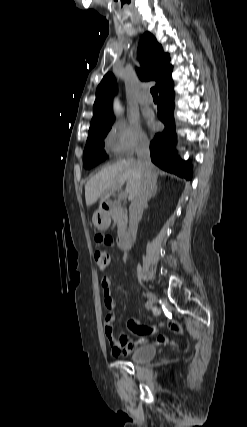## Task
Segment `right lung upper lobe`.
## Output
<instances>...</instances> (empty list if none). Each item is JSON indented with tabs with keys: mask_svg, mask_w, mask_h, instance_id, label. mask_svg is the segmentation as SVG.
<instances>
[{
	"mask_svg": "<svg viewBox=\"0 0 247 427\" xmlns=\"http://www.w3.org/2000/svg\"><path fill=\"white\" fill-rule=\"evenodd\" d=\"M139 59L142 69L138 70L141 80H155L160 90L171 78L172 65L168 54L163 52L155 37L146 32L141 37L138 46ZM116 91V84L112 74L104 76L96 90V100L93 106V118L90 129L98 127L112 119V96Z\"/></svg>",
	"mask_w": 247,
	"mask_h": 427,
	"instance_id": "cb5924a9",
	"label": "right lung upper lobe"
}]
</instances>
